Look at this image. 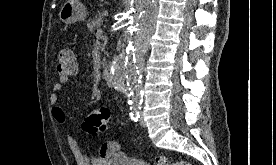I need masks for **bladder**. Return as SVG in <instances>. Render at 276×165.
Returning <instances> with one entry per match:
<instances>
[{"label": "bladder", "instance_id": "31cf9c89", "mask_svg": "<svg viewBox=\"0 0 276 165\" xmlns=\"http://www.w3.org/2000/svg\"><path fill=\"white\" fill-rule=\"evenodd\" d=\"M109 165H149L147 162L123 154L115 155Z\"/></svg>", "mask_w": 276, "mask_h": 165}]
</instances>
